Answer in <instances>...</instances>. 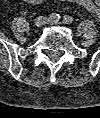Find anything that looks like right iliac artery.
Returning a JSON list of instances; mask_svg holds the SVG:
<instances>
[{
    "instance_id": "right-iliac-artery-1",
    "label": "right iliac artery",
    "mask_w": 100,
    "mask_h": 118,
    "mask_svg": "<svg viewBox=\"0 0 100 118\" xmlns=\"http://www.w3.org/2000/svg\"><path fill=\"white\" fill-rule=\"evenodd\" d=\"M50 19L58 21L60 19V15L58 13H52L50 14Z\"/></svg>"
}]
</instances>
